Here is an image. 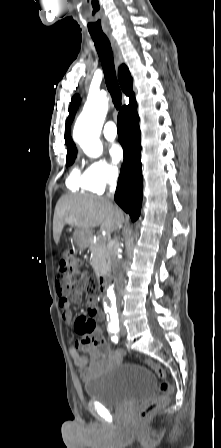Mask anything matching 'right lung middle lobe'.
I'll list each match as a JSON object with an SVG mask.
<instances>
[{"label":"right lung middle lobe","mask_w":221,"mask_h":448,"mask_svg":"<svg viewBox=\"0 0 221 448\" xmlns=\"http://www.w3.org/2000/svg\"><path fill=\"white\" fill-rule=\"evenodd\" d=\"M76 156H77V153L68 154V155H67L66 166L73 164V162H74Z\"/></svg>","instance_id":"obj_1"}]
</instances>
